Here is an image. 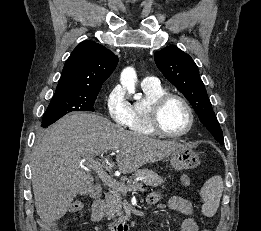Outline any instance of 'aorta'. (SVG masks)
<instances>
[{
    "instance_id": "aorta-1",
    "label": "aorta",
    "mask_w": 261,
    "mask_h": 231,
    "mask_svg": "<svg viewBox=\"0 0 261 231\" xmlns=\"http://www.w3.org/2000/svg\"><path fill=\"white\" fill-rule=\"evenodd\" d=\"M137 79L136 72L134 68L127 67L125 68L120 76V82L124 88H126L129 93L134 94L135 100H140L141 96L138 94H135V81Z\"/></svg>"
}]
</instances>
